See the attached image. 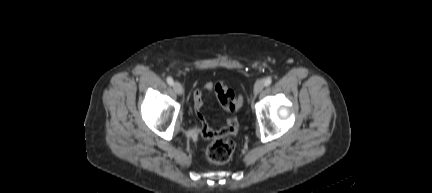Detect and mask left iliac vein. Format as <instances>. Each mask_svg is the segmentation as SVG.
<instances>
[{
	"instance_id": "obj_1",
	"label": "left iliac vein",
	"mask_w": 432,
	"mask_h": 193,
	"mask_svg": "<svg viewBox=\"0 0 432 193\" xmlns=\"http://www.w3.org/2000/svg\"><path fill=\"white\" fill-rule=\"evenodd\" d=\"M264 86V80H258L254 86V95H258L264 89Z\"/></svg>"
}]
</instances>
